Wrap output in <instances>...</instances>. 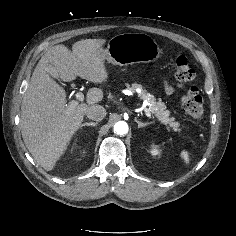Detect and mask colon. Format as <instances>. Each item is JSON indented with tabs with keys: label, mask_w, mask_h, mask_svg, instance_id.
I'll use <instances>...</instances> for the list:
<instances>
[{
	"label": "colon",
	"mask_w": 236,
	"mask_h": 236,
	"mask_svg": "<svg viewBox=\"0 0 236 236\" xmlns=\"http://www.w3.org/2000/svg\"><path fill=\"white\" fill-rule=\"evenodd\" d=\"M175 78L179 87L189 86L195 78V71L184 56H179L176 60ZM181 106L193 120H202L204 116V103L196 87H188L185 94L181 97Z\"/></svg>",
	"instance_id": "1"
}]
</instances>
